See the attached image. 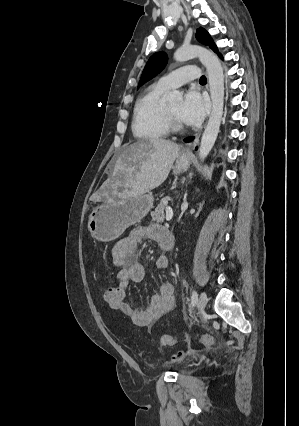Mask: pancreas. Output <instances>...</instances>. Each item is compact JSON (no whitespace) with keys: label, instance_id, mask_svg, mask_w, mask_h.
<instances>
[{"label":"pancreas","instance_id":"cf45deb5","mask_svg":"<svg viewBox=\"0 0 299 426\" xmlns=\"http://www.w3.org/2000/svg\"><path fill=\"white\" fill-rule=\"evenodd\" d=\"M169 200V197H164L158 206L155 208L153 212H151V216L153 221L161 222L164 219V213L167 207V202Z\"/></svg>","mask_w":299,"mask_h":426}]
</instances>
